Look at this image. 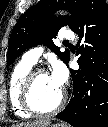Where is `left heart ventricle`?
<instances>
[{
    "label": "left heart ventricle",
    "mask_w": 108,
    "mask_h": 127,
    "mask_svg": "<svg viewBox=\"0 0 108 127\" xmlns=\"http://www.w3.org/2000/svg\"><path fill=\"white\" fill-rule=\"evenodd\" d=\"M62 93L49 74L39 75L33 87V101L41 110L51 109L56 105Z\"/></svg>",
    "instance_id": "1"
}]
</instances>
